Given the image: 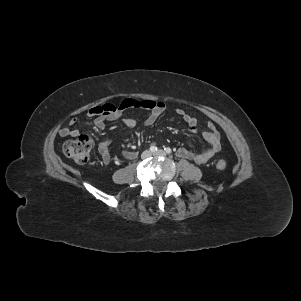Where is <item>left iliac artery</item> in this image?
I'll return each mask as SVG.
<instances>
[{
	"label": "left iliac artery",
	"mask_w": 301,
	"mask_h": 301,
	"mask_svg": "<svg viewBox=\"0 0 301 301\" xmlns=\"http://www.w3.org/2000/svg\"><path fill=\"white\" fill-rule=\"evenodd\" d=\"M164 150H165V152H166L167 154H171V153H172V150H171V148H169V147L165 148Z\"/></svg>",
	"instance_id": "obj_1"
}]
</instances>
